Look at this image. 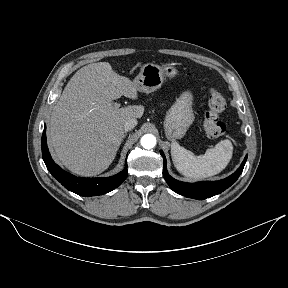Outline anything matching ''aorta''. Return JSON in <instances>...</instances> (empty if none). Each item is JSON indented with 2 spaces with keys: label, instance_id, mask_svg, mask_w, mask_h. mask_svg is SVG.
Returning a JSON list of instances; mask_svg holds the SVG:
<instances>
[{
  "label": "aorta",
  "instance_id": "762f6f07",
  "mask_svg": "<svg viewBox=\"0 0 288 288\" xmlns=\"http://www.w3.org/2000/svg\"><path fill=\"white\" fill-rule=\"evenodd\" d=\"M141 145L145 149H151L156 145V138L152 134H145L141 138Z\"/></svg>",
  "mask_w": 288,
  "mask_h": 288
}]
</instances>
